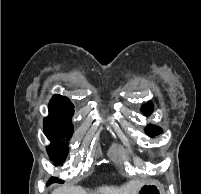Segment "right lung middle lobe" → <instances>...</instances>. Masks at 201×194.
<instances>
[{
  "label": "right lung middle lobe",
  "instance_id": "dd1d6c3e",
  "mask_svg": "<svg viewBox=\"0 0 201 194\" xmlns=\"http://www.w3.org/2000/svg\"><path fill=\"white\" fill-rule=\"evenodd\" d=\"M44 133L51 141V145L47 147V152L51 160L62 163L64 162L67 153V142L73 133L71 118L65 113L49 109V116L44 119ZM50 183L62 182L58 178H51Z\"/></svg>",
  "mask_w": 201,
  "mask_h": 194
}]
</instances>
